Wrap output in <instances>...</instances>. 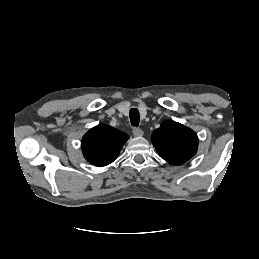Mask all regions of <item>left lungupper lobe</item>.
Masks as SVG:
<instances>
[{
	"label": "left lung upper lobe",
	"instance_id": "1",
	"mask_svg": "<svg viewBox=\"0 0 259 259\" xmlns=\"http://www.w3.org/2000/svg\"><path fill=\"white\" fill-rule=\"evenodd\" d=\"M151 141L160 157L172 165H181L197 152V134L188 127L175 122L164 121L153 131Z\"/></svg>",
	"mask_w": 259,
	"mask_h": 259
}]
</instances>
